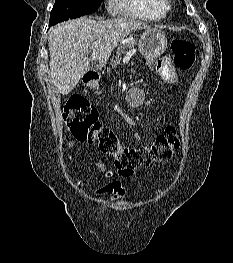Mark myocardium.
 I'll list each match as a JSON object with an SVG mask.
<instances>
[{"mask_svg": "<svg viewBox=\"0 0 233 263\" xmlns=\"http://www.w3.org/2000/svg\"><path fill=\"white\" fill-rule=\"evenodd\" d=\"M165 4V3H164ZM168 7V5L167 4H165V8H167Z\"/></svg>", "mask_w": 233, "mask_h": 263, "instance_id": "1", "label": "myocardium"}]
</instances>
